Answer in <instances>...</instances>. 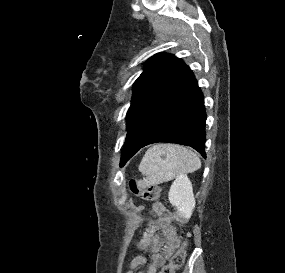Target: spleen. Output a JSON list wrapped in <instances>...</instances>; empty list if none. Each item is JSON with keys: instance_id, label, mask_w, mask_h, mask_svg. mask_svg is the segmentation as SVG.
I'll return each mask as SVG.
<instances>
[{"instance_id": "obj_1", "label": "spleen", "mask_w": 285, "mask_h": 273, "mask_svg": "<svg viewBox=\"0 0 285 273\" xmlns=\"http://www.w3.org/2000/svg\"><path fill=\"white\" fill-rule=\"evenodd\" d=\"M201 167L199 157L191 150L174 144H157L149 148L140 165V172L146 176V186L171 181L185 173Z\"/></svg>"}]
</instances>
